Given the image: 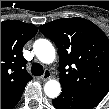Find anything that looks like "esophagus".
<instances>
[{
  "mask_svg": "<svg viewBox=\"0 0 109 109\" xmlns=\"http://www.w3.org/2000/svg\"><path fill=\"white\" fill-rule=\"evenodd\" d=\"M51 77V73L48 69L45 70L44 74L41 76V79L43 81L48 80Z\"/></svg>",
  "mask_w": 109,
  "mask_h": 109,
  "instance_id": "34e87169",
  "label": "esophagus"
}]
</instances>
